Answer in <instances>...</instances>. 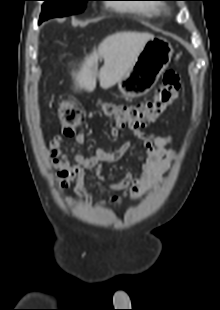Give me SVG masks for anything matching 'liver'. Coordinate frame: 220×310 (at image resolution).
Segmentation results:
<instances>
[{
	"mask_svg": "<svg viewBox=\"0 0 220 310\" xmlns=\"http://www.w3.org/2000/svg\"><path fill=\"white\" fill-rule=\"evenodd\" d=\"M154 36L145 32H117L107 36L92 53L85 57L78 71L72 72L77 89L92 92L96 88V79L100 86L108 89L115 85L133 66L143 46ZM104 64L97 71L98 60Z\"/></svg>",
	"mask_w": 220,
	"mask_h": 310,
	"instance_id": "obj_1",
	"label": "liver"
}]
</instances>
